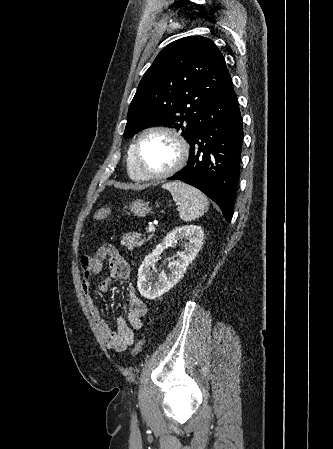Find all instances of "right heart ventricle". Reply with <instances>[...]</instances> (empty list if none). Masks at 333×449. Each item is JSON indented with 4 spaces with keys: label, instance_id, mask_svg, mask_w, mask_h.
<instances>
[{
    "label": "right heart ventricle",
    "instance_id": "obj_1",
    "mask_svg": "<svg viewBox=\"0 0 333 449\" xmlns=\"http://www.w3.org/2000/svg\"><path fill=\"white\" fill-rule=\"evenodd\" d=\"M126 165H127L128 175L134 180H141L136 169H135L132 146L129 148L128 153H127Z\"/></svg>",
    "mask_w": 333,
    "mask_h": 449
}]
</instances>
